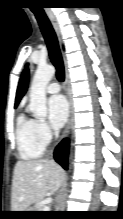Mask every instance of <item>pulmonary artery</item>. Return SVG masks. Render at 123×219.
<instances>
[{"mask_svg": "<svg viewBox=\"0 0 123 219\" xmlns=\"http://www.w3.org/2000/svg\"><path fill=\"white\" fill-rule=\"evenodd\" d=\"M46 91L47 93H50V94L58 93L60 91V85L56 82L50 83L46 87Z\"/></svg>", "mask_w": 123, "mask_h": 219, "instance_id": "pulmonary-artery-1", "label": "pulmonary artery"}]
</instances>
